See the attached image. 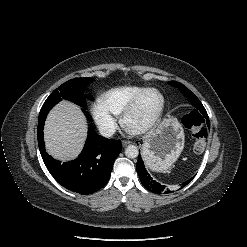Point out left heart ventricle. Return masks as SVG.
Segmentation results:
<instances>
[{"instance_id":"left-heart-ventricle-1","label":"left heart ventricle","mask_w":247,"mask_h":247,"mask_svg":"<svg viewBox=\"0 0 247 247\" xmlns=\"http://www.w3.org/2000/svg\"><path fill=\"white\" fill-rule=\"evenodd\" d=\"M160 105L161 98L158 93L153 91L146 93L129 116V125L132 128L143 127L155 117Z\"/></svg>"}]
</instances>
